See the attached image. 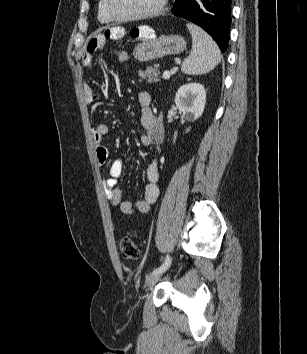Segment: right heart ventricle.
Wrapping results in <instances>:
<instances>
[{
	"mask_svg": "<svg viewBox=\"0 0 307 354\" xmlns=\"http://www.w3.org/2000/svg\"><path fill=\"white\" fill-rule=\"evenodd\" d=\"M97 16L99 21L103 23H109L113 19L109 16L107 13L106 7H105V0H99L98 5H97Z\"/></svg>",
	"mask_w": 307,
	"mask_h": 354,
	"instance_id": "1",
	"label": "right heart ventricle"
}]
</instances>
